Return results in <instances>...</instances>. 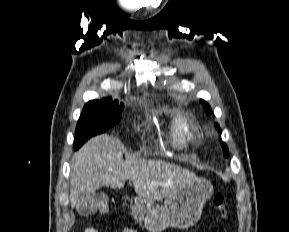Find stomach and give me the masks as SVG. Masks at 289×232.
<instances>
[{"mask_svg": "<svg viewBox=\"0 0 289 232\" xmlns=\"http://www.w3.org/2000/svg\"><path fill=\"white\" fill-rule=\"evenodd\" d=\"M212 194L211 182L196 177L181 190L167 197L164 205L136 197L131 205L132 215L135 220L143 222L150 232H162L168 227L186 229L199 220L203 206Z\"/></svg>", "mask_w": 289, "mask_h": 232, "instance_id": "obj_1", "label": "stomach"}]
</instances>
